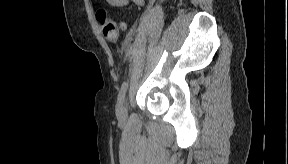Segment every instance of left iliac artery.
Returning a JSON list of instances; mask_svg holds the SVG:
<instances>
[{
    "label": "left iliac artery",
    "mask_w": 288,
    "mask_h": 164,
    "mask_svg": "<svg viewBox=\"0 0 288 164\" xmlns=\"http://www.w3.org/2000/svg\"><path fill=\"white\" fill-rule=\"evenodd\" d=\"M127 88H128V82L125 81L123 82L119 94H118V98H117V106L120 107L124 101L126 92H127Z\"/></svg>",
    "instance_id": "obj_1"
}]
</instances>
